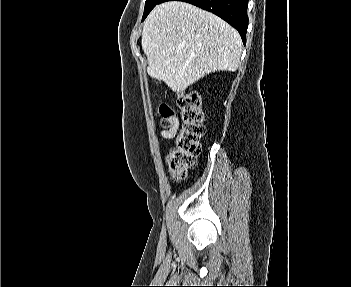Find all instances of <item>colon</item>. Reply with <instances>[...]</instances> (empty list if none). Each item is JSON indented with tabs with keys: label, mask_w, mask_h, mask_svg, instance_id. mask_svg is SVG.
<instances>
[{
	"label": "colon",
	"mask_w": 351,
	"mask_h": 287,
	"mask_svg": "<svg viewBox=\"0 0 351 287\" xmlns=\"http://www.w3.org/2000/svg\"><path fill=\"white\" fill-rule=\"evenodd\" d=\"M178 104L181 128L167 156V165L175 183L184 181L188 170L195 166L200 151V139L205 132L199 94L194 90H187L179 96ZM160 114L164 125H169L174 118L172 109L165 104L160 106Z\"/></svg>",
	"instance_id": "colon-1"
}]
</instances>
